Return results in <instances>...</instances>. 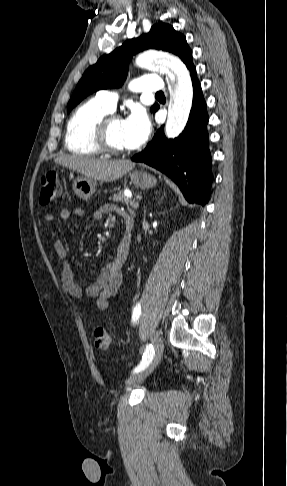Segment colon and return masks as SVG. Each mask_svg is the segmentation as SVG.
<instances>
[{
  "instance_id": "5ec220e1",
  "label": "colon",
  "mask_w": 287,
  "mask_h": 486,
  "mask_svg": "<svg viewBox=\"0 0 287 486\" xmlns=\"http://www.w3.org/2000/svg\"><path fill=\"white\" fill-rule=\"evenodd\" d=\"M61 193V186L55 172H46L41 179L39 201L42 205L55 201ZM94 345L97 349L106 350L110 347L111 336L105 327L99 326L94 330Z\"/></svg>"
}]
</instances>
